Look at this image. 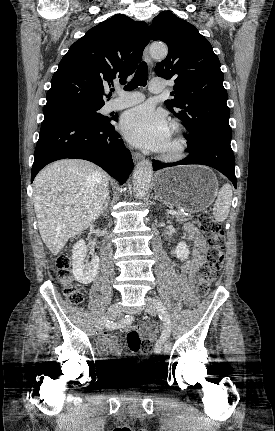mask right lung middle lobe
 <instances>
[{"label":"right lung middle lobe","instance_id":"1","mask_svg":"<svg viewBox=\"0 0 275 431\" xmlns=\"http://www.w3.org/2000/svg\"><path fill=\"white\" fill-rule=\"evenodd\" d=\"M101 106L92 107H75L64 110H58L50 113H44V117L55 116V115H65V116H75L82 118L84 120L90 121L92 123H102L108 120L107 116L101 115L98 110Z\"/></svg>","mask_w":275,"mask_h":431}]
</instances>
